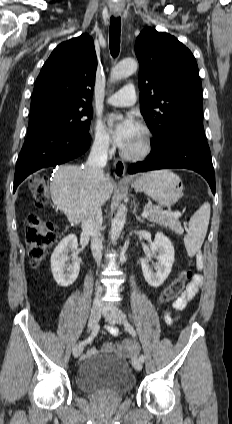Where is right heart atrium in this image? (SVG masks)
Returning a JSON list of instances; mask_svg holds the SVG:
<instances>
[{
	"label": "right heart atrium",
	"mask_w": 232,
	"mask_h": 424,
	"mask_svg": "<svg viewBox=\"0 0 232 424\" xmlns=\"http://www.w3.org/2000/svg\"><path fill=\"white\" fill-rule=\"evenodd\" d=\"M91 142L99 153L107 154L111 150V138L100 121H95L91 127Z\"/></svg>",
	"instance_id": "right-heart-atrium-1"
}]
</instances>
